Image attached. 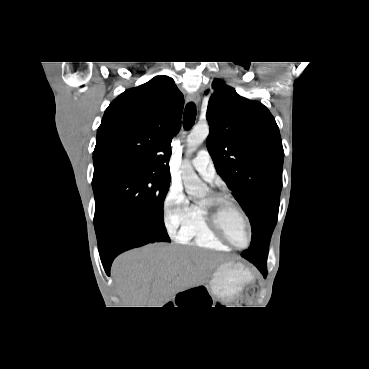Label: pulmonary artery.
Segmentation results:
<instances>
[{"instance_id":"e3ab8cb5","label":"pulmonary artery","mask_w":369,"mask_h":369,"mask_svg":"<svg viewBox=\"0 0 369 369\" xmlns=\"http://www.w3.org/2000/svg\"><path fill=\"white\" fill-rule=\"evenodd\" d=\"M191 164L203 179L208 182L213 181L215 177V168L207 150H200L196 157L192 159Z\"/></svg>"}]
</instances>
